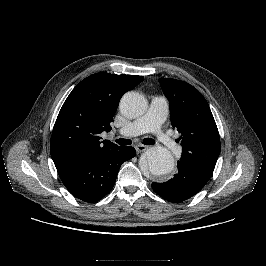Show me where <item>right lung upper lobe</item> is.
<instances>
[{"label": "right lung upper lobe", "mask_w": 266, "mask_h": 266, "mask_svg": "<svg viewBox=\"0 0 266 266\" xmlns=\"http://www.w3.org/2000/svg\"><path fill=\"white\" fill-rule=\"evenodd\" d=\"M144 79L136 75L96 73L82 80L69 94L55 122L50 153L54 163L116 147L99 134L111 130L124 93Z\"/></svg>", "instance_id": "obj_1"}]
</instances>
